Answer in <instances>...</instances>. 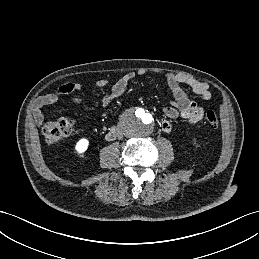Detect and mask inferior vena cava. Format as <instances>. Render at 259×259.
I'll use <instances>...</instances> for the list:
<instances>
[{"label":"inferior vena cava","mask_w":259,"mask_h":259,"mask_svg":"<svg viewBox=\"0 0 259 259\" xmlns=\"http://www.w3.org/2000/svg\"><path fill=\"white\" fill-rule=\"evenodd\" d=\"M118 136H119V137H122V132L119 131V132H118Z\"/></svg>","instance_id":"obj_1"}]
</instances>
